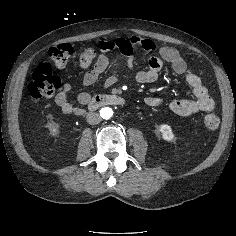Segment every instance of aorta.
Wrapping results in <instances>:
<instances>
[{"mask_svg":"<svg viewBox=\"0 0 236 236\" xmlns=\"http://www.w3.org/2000/svg\"><path fill=\"white\" fill-rule=\"evenodd\" d=\"M100 115L103 119H109L113 116V110L110 107H104L100 110Z\"/></svg>","mask_w":236,"mask_h":236,"instance_id":"1","label":"aorta"}]
</instances>
